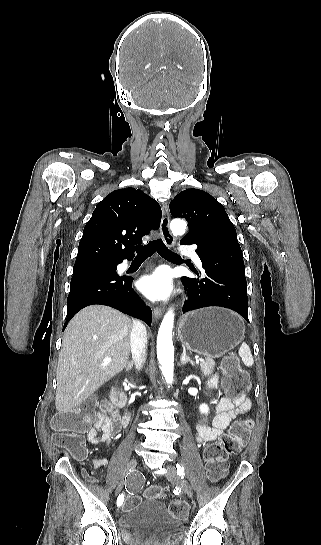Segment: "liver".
<instances>
[{"instance_id": "obj_1", "label": "liver", "mask_w": 321, "mask_h": 545, "mask_svg": "<svg viewBox=\"0 0 321 545\" xmlns=\"http://www.w3.org/2000/svg\"><path fill=\"white\" fill-rule=\"evenodd\" d=\"M132 329L129 317L104 305L86 307L71 319L57 367L58 413H71L125 369ZM106 357H110L111 363H105Z\"/></svg>"}]
</instances>
